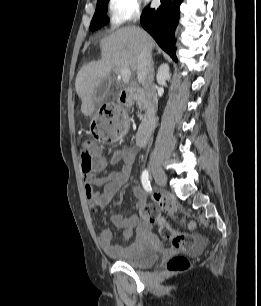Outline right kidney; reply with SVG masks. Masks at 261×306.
<instances>
[{
  "mask_svg": "<svg viewBox=\"0 0 261 306\" xmlns=\"http://www.w3.org/2000/svg\"><path fill=\"white\" fill-rule=\"evenodd\" d=\"M171 74L169 72L168 64H162L157 72V82L159 85L166 86V81H169Z\"/></svg>",
  "mask_w": 261,
  "mask_h": 306,
  "instance_id": "ca27d5eb",
  "label": "right kidney"
}]
</instances>
